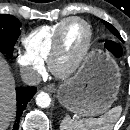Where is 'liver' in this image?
<instances>
[{
    "mask_svg": "<svg viewBox=\"0 0 130 130\" xmlns=\"http://www.w3.org/2000/svg\"><path fill=\"white\" fill-rule=\"evenodd\" d=\"M15 80L0 56V130H6L15 112Z\"/></svg>",
    "mask_w": 130,
    "mask_h": 130,
    "instance_id": "6515ba94",
    "label": "liver"
}]
</instances>
